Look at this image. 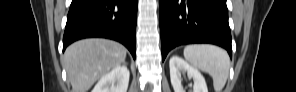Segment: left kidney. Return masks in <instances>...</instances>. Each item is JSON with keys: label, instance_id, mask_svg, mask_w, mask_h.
Wrapping results in <instances>:
<instances>
[{"label": "left kidney", "instance_id": "left-kidney-1", "mask_svg": "<svg viewBox=\"0 0 296 92\" xmlns=\"http://www.w3.org/2000/svg\"><path fill=\"white\" fill-rule=\"evenodd\" d=\"M169 67L171 84L175 92H185L181 83V74L185 72L190 78H193V92H208L203 75L181 57L177 55L172 56L169 61Z\"/></svg>", "mask_w": 296, "mask_h": 92}]
</instances>
